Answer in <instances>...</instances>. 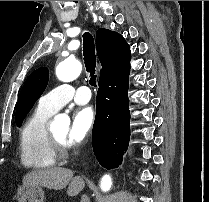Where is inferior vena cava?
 <instances>
[{
	"mask_svg": "<svg viewBox=\"0 0 209 202\" xmlns=\"http://www.w3.org/2000/svg\"><path fill=\"white\" fill-rule=\"evenodd\" d=\"M81 202H90V199H89V197L87 195H83L81 197Z\"/></svg>",
	"mask_w": 209,
	"mask_h": 202,
	"instance_id": "1",
	"label": "inferior vena cava"
}]
</instances>
